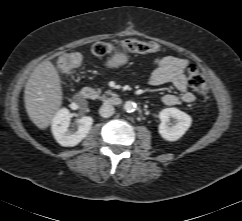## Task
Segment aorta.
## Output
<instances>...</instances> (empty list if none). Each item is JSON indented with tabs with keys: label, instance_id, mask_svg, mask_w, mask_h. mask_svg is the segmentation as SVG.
I'll list each match as a JSON object with an SVG mask.
<instances>
[{
	"label": "aorta",
	"instance_id": "obj_1",
	"mask_svg": "<svg viewBox=\"0 0 242 221\" xmlns=\"http://www.w3.org/2000/svg\"><path fill=\"white\" fill-rule=\"evenodd\" d=\"M136 103L132 102V101H126L123 109L128 112V113H132L136 110Z\"/></svg>",
	"mask_w": 242,
	"mask_h": 221
}]
</instances>
